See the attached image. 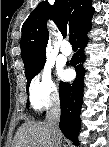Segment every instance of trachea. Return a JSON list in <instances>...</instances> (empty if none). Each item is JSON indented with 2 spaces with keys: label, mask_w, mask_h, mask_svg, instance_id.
<instances>
[{
  "label": "trachea",
  "mask_w": 109,
  "mask_h": 147,
  "mask_svg": "<svg viewBox=\"0 0 109 147\" xmlns=\"http://www.w3.org/2000/svg\"><path fill=\"white\" fill-rule=\"evenodd\" d=\"M69 41H70L72 46H77V41H76V37H75L74 34H70Z\"/></svg>",
  "instance_id": "3493384b"
}]
</instances>
